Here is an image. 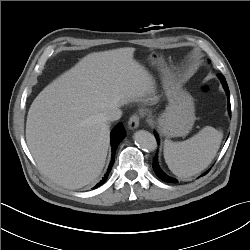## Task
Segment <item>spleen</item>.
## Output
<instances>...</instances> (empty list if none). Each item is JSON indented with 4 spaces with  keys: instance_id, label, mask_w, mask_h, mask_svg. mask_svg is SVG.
Listing matches in <instances>:
<instances>
[{
    "instance_id": "obj_1",
    "label": "spleen",
    "mask_w": 250,
    "mask_h": 250,
    "mask_svg": "<svg viewBox=\"0 0 250 250\" xmlns=\"http://www.w3.org/2000/svg\"><path fill=\"white\" fill-rule=\"evenodd\" d=\"M223 133L211 126L182 142L164 141V158L170 171L179 178L194 176L212 162L220 147Z\"/></svg>"
}]
</instances>
